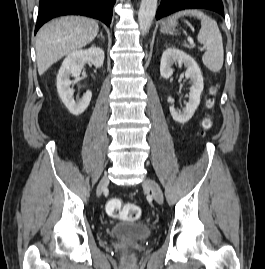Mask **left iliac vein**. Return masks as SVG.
<instances>
[{
    "mask_svg": "<svg viewBox=\"0 0 265 269\" xmlns=\"http://www.w3.org/2000/svg\"><path fill=\"white\" fill-rule=\"evenodd\" d=\"M143 186L151 190L152 195L157 203L159 204L163 203L164 198L162 190L155 180L147 178L144 180Z\"/></svg>",
    "mask_w": 265,
    "mask_h": 269,
    "instance_id": "obj_1",
    "label": "left iliac vein"
}]
</instances>
